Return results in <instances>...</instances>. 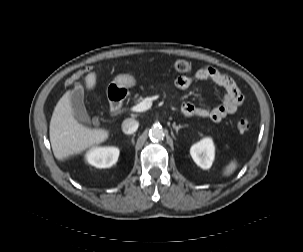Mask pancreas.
<instances>
[{
	"label": "pancreas",
	"mask_w": 303,
	"mask_h": 252,
	"mask_svg": "<svg viewBox=\"0 0 303 252\" xmlns=\"http://www.w3.org/2000/svg\"><path fill=\"white\" fill-rule=\"evenodd\" d=\"M134 99H135L134 100L135 103H139V102L143 101V97L142 96H138V95H135Z\"/></svg>",
	"instance_id": "pancreas-1"
}]
</instances>
